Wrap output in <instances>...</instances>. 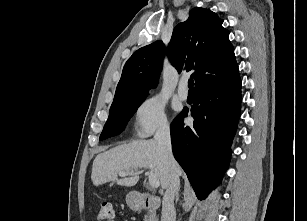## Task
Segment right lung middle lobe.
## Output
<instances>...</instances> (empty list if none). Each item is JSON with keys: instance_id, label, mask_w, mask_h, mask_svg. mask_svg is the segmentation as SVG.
<instances>
[{"instance_id": "1", "label": "right lung middle lobe", "mask_w": 307, "mask_h": 221, "mask_svg": "<svg viewBox=\"0 0 307 221\" xmlns=\"http://www.w3.org/2000/svg\"><path fill=\"white\" fill-rule=\"evenodd\" d=\"M147 94L148 93H142L129 96L112 103L108 120L99 140H104L120 134L124 130L129 119L136 112L137 108L145 100Z\"/></svg>"}]
</instances>
